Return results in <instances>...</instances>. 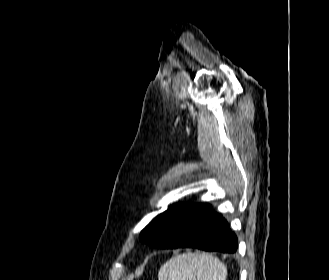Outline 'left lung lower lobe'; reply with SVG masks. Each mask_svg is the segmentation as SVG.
I'll return each instance as SVG.
<instances>
[{
    "instance_id": "0a47b994",
    "label": "left lung lower lobe",
    "mask_w": 329,
    "mask_h": 280,
    "mask_svg": "<svg viewBox=\"0 0 329 280\" xmlns=\"http://www.w3.org/2000/svg\"><path fill=\"white\" fill-rule=\"evenodd\" d=\"M161 227L162 234L169 237L163 248L236 252L238 247L227 221L212 211L209 204H175Z\"/></svg>"
}]
</instances>
